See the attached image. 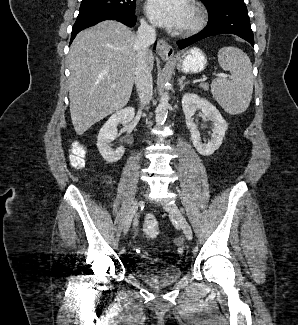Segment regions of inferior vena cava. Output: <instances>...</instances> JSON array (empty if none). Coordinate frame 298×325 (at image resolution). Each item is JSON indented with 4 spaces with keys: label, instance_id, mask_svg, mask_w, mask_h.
Listing matches in <instances>:
<instances>
[{
    "label": "inferior vena cava",
    "instance_id": "obj_1",
    "mask_svg": "<svg viewBox=\"0 0 298 325\" xmlns=\"http://www.w3.org/2000/svg\"><path fill=\"white\" fill-rule=\"evenodd\" d=\"M138 58L135 70V84L140 100V110L142 106L149 104L153 94V78L152 66L149 64V56H151L150 44H154L157 36L155 26H150L145 20H141V24L137 30Z\"/></svg>",
    "mask_w": 298,
    "mask_h": 325
}]
</instances>
